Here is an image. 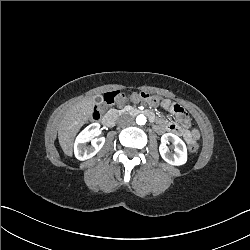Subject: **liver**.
Returning <instances> with one entry per match:
<instances>
[{
    "label": "liver",
    "mask_w": 250,
    "mask_h": 250,
    "mask_svg": "<svg viewBox=\"0 0 250 250\" xmlns=\"http://www.w3.org/2000/svg\"><path fill=\"white\" fill-rule=\"evenodd\" d=\"M94 97L83 98L65 114L58 130L59 144L67 156L73 154V142L79 129L92 117Z\"/></svg>",
    "instance_id": "obj_1"
}]
</instances>
